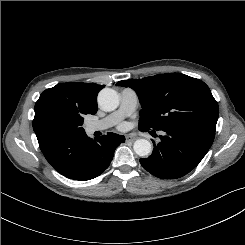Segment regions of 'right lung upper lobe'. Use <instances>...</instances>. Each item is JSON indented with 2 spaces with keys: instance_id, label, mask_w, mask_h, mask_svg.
Masks as SVG:
<instances>
[{
  "instance_id": "right-lung-upper-lobe-1",
  "label": "right lung upper lobe",
  "mask_w": 245,
  "mask_h": 245,
  "mask_svg": "<svg viewBox=\"0 0 245 245\" xmlns=\"http://www.w3.org/2000/svg\"><path fill=\"white\" fill-rule=\"evenodd\" d=\"M103 87L104 85H98L95 83L69 82L59 83L56 86L43 91L35 104L33 129L45 158H49L51 156L56 144L64 137L55 136L40 124L39 109L41 105L49 100H57L70 110L75 111L82 116L84 114L94 115L98 109L96 105L97 94Z\"/></svg>"
}]
</instances>
